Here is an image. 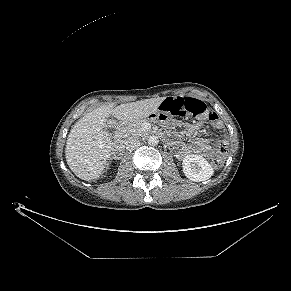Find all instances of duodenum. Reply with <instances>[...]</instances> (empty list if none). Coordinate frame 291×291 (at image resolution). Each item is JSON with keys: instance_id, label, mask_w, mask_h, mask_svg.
I'll return each mask as SVG.
<instances>
[{"instance_id": "duodenum-1", "label": "duodenum", "mask_w": 291, "mask_h": 291, "mask_svg": "<svg viewBox=\"0 0 291 291\" xmlns=\"http://www.w3.org/2000/svg\"><path fill=\"white\" fill-rule=\"evenodd\" d=\"M155 135H158V132L154 133ZM124 151V142L122 140H118L113 149V155L115 159H120L122 157Z\"/></svg>"}]
</instances>
